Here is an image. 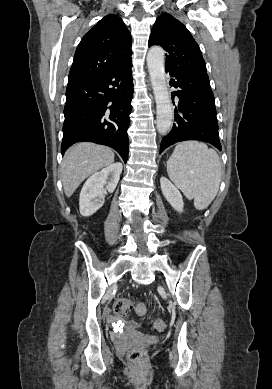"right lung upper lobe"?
I'll return each instance as SVG.
<instances>
[{
	"label": "right lung upper lobe",
	"mask_w": 272,
	"mask_h": 389,
	"mask_svg": "<svg viewBox=\"0 0 272 389\" xmlns=\"http://www.w3.org/2000/svg\"><path fill=\"white\" fill-rule=\"evenodd\" d=\"M132 38L122 19L107 15L79 43L69 79L100 74L131 60Z\"/></svg>",
	"instance_id": "1"
}]
</instances>
